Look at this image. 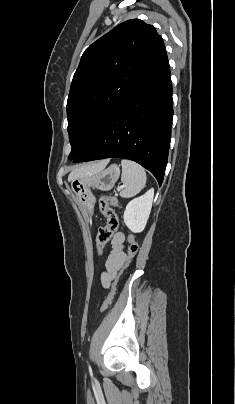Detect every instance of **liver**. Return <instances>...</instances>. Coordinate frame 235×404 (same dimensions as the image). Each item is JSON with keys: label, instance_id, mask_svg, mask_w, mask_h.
I'll return each instance as SVG.
<instances>
[{"label": "liver", "instance_id": "6515ba94", "mask_svg": "<svg viewBox=\"0 0 235 404\" xmlns=\"http://www.w3.org/2000/svg\"><path fill=\"white\" fill-rule=\"evenodd\" d=\"M108 163V160H102L98 163H91L82 165L74 169L68 176V181L76 178L87 177L102 170Z\"/></svg>", "mask_w": 235, "mask_h": 404}]
</instances>
